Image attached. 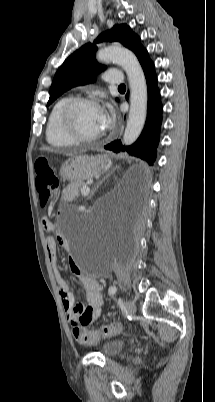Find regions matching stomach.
<instances>
[{
    "label": "stomach",
    "mask_w": 215,
    "mask_h": 402,
    "mask_svg": "<svg viewBox=\"0 0 215 402\" xmlns=\"http://www.w3.org/2000/svg\"><path fill=\"white\" fill-rule=\"evenodd\" d=\"M106 162V159L100 157H73L62 164L60 176L71 182H83L99 174Z\"/></svg>",
    "instance_id": "stomach-1"
}]
</instances>
